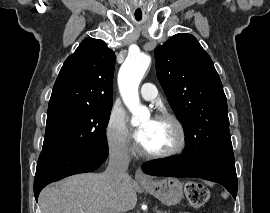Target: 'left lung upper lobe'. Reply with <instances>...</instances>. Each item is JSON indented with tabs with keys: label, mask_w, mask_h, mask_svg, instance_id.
I'll return each instance as SVG.
<instances>
[{
	"label": "left lung upper lobe",
	"mask_w": 270,
	"mask_h": 213,
	"mask_svg": "<svg viewBox=\"0 0 270 213\" xmlns=\"http://www.w3.org/2000/svg\"><path fill=\"white\" fill-rule=\"evenodd\" d=\"M157 77L182 123L186 143L201 157L233 154L226 96L207 52L190 34H176L155 50Z\"/></svg>",
	"instance_id": "obj_1"
}]
</instances>
